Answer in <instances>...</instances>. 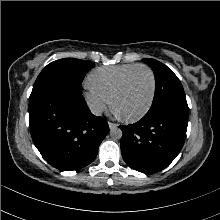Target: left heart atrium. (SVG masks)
I'll return each instance as SVG.
<instances>
[{"label":"left heart atrium","mask_w":220,"mask_h":220,"mask_svg":"<svg viewBox=\"0 0 220 220\" xmlns=\"http://www.w3.org/2000/svg\"><path fill=\"white\" fill-rule=\"evenodd\" d=\"M116 114L120 115V113L115 109Z\"/></svg>","instance_id":"1"}]
</instances>
